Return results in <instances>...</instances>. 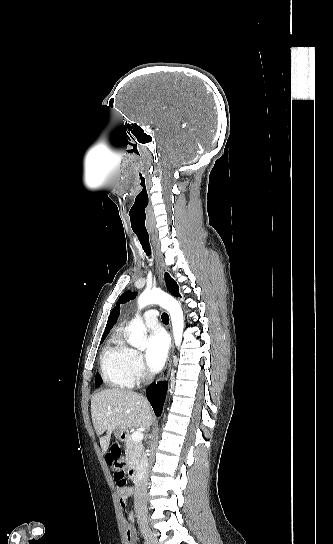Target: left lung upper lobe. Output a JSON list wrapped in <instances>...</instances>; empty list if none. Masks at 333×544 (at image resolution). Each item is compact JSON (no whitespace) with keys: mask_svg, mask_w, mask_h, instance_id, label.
Returning <instances> with one entry per match:
<instances>
[{"mask_svg":"<svg viewBox=\"0 0 333 544\" xmlns=\"http://www.w3.org/2000/svg\"><path fill=\"white\" fill-rule=\"evenodd\" d=\"M165 281L166 285L168 287V290L170 293H172L174 296H179L178 291V285L177 283L169 276L168 273L165 274ZM136 293H132L131 291H127L121 295V297L118 299L117 304L119 303H126L130 299H133L135 297Z\"/></svg>","mask_w":333,"mask_h":544,"instance_id":"obj_1","label":"left lung upper lobe"}]
</instances>
